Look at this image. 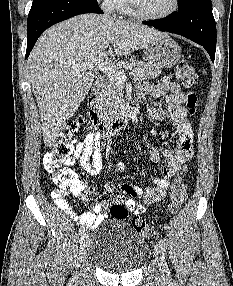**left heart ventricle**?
Segmentation results:
<instances>
[{
	"instance_id": "obj_1",
	"label": "left heart ventricle",
	"mask_w": 233,
	"mask_h": 286,
	"mask_svg": "<svg viewBox=\"0 0 233 286\" xmlns=\"http://www.w3.org/2000/svg\"><path fill=\"white\" fill-rule=\"evenodd\" d=\"M141 9L150 15H162L173 6V0H137Z\"/></svg>"
}]
</instances>
